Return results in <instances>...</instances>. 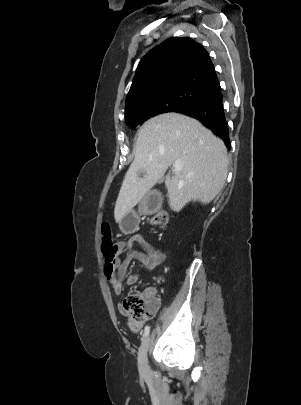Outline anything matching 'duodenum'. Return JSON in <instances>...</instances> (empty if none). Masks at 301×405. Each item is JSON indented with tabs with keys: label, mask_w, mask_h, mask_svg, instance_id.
<instances>
[{
	"label": "duodenum",
	"mask_w": 301,
	"mask_h": 405,
	"mask_svg": "<svg viewBox=\"0 0 301 405\" xmlns=\"http://www.w3.org/2000/svg\"><path fill=\"white\" fill-rule=\"evenodd\" d=\"M141 211L145 218H150L151 213H160L163 207V200L160 194H155L154 191H149L144 199L140 201Z\"/></svg>",
	"instance_id": "1"
}]
</instances>
